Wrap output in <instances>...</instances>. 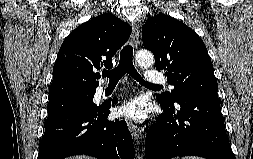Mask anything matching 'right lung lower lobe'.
Masks as SVG:
<instances>
[{
	"mask_svg": "<svg viewBox=\"0 0 253 159\" xmlns=\"http://www.w3.org/2000/svg\"><path fill=\"white\" fill-rule=\"evenodd\" d=\"M118 102L117 97L112 103ZM111 102L72 111L45 127L38 159L89 155L99 159H134L125 121H108Z\"/></svg>",
	"mask_w": 253,
	"mask_h": 159,
	"instance_id": "98d812e1",
	"label": "right lung lower lobe"
}]
</instances>
